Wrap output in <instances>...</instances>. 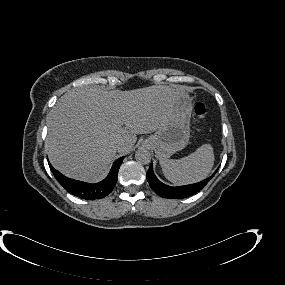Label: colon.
Listing matches in <instances>:
<instances>
[{"instance_id":"5ec220e1","label":"colon","mask_w":285,"mask_h":285,"mask_svg":"<svg viewBox=\"0 0 285 285\" xmlns=\"http://www.w3.org/2000/svg\"><path fill=\"white\" fill-rule=\"evenodd\" d=\"M194 113L198 118H203L206 113L205 105L203 103L196 104L194 107Z\"/></svg>"}]
</instances>
